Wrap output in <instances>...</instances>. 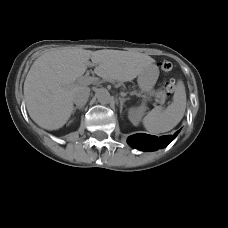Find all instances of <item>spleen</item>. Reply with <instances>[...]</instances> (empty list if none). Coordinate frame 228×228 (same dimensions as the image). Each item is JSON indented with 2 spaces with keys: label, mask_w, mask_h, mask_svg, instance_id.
Wrapping results in <instances>:
<instances>
[{
  "label": "spleen",
  "mask_w": 228,
  "mask_h": 228,
  "mask_svg": "<svg viewBox=\"0 0 228 228\" xmlns=\"http://www.w3.org/2000/svg\"><path fill=\"white\" fill-rule=\"evenodd\" d=\"M186 109V92L182 82H178L172 103L163 108L156 106L143 119V125L151 134L172 130L183 118Z\"/></svg>",
  "instance_id": "spleen-1"
}]
</instances>
